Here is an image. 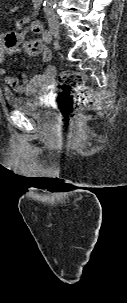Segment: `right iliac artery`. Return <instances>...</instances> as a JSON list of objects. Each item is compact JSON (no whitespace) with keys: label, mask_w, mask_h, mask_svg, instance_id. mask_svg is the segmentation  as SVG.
Wrapping results in <instances>:
<instances>
[{"label":"right iliac artery","mask_w":127,"mask_h":303,"mask_svg":"<svg viewBox=\"0 0 127 303\" xmlns=\"http://www.w3.org/2000/svg\"><path fill=\"white\" fill-rule=\"evenodd\" d=\"M43 39L47 44H50L52 41V33L50 30L46 29L43 33Z\"/></svg>","instance_id":"right-iliac-artery-1"}]
</instances>
